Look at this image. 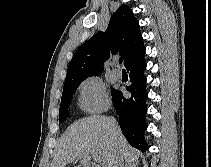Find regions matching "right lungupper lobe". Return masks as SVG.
<instances>
[{
    "label": "right lung upper lobe",
    "instance_id": "obj_1",
    "mask_svg": "<svg viewBox=\"0 0 211 167\" xmlns=\"http://www.w3.org/2000/svg\"><path fill=\"white\" fill-rule=\"evenodd\" d=\"M118 52L126 68L145 54L139 23L126 5H121L112 15L105 33H96L77 49L68 66L65 83L101 75L105 59L110 53Z\"/></svg>",
    "mask_w": 211,
    "mask_h": 167
}]
</instances>
